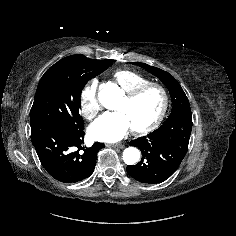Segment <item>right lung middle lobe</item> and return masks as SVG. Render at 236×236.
Masks as SVG:
<instances>
[{
    "label": "right lung middle lobe",
    "mask_w": 236,
    "mask_h": 236,
    "mask_svg": "<svg viewBox=\"0 0 236 236\" xmlns=\"http://www.w3.org/2000/svg\"><path fill=\"white\" fill-rule=\"evenodd\" d=\"M111 61L102 60L94 68L63 70L49 68L42 76L31 108V122L47 121L78 130L84 127L79 113L80 95L86 83L105 71Z\"/></svg>",
    "instance_id": "right-lung-middle-lobe-1"
}]
</instances>
